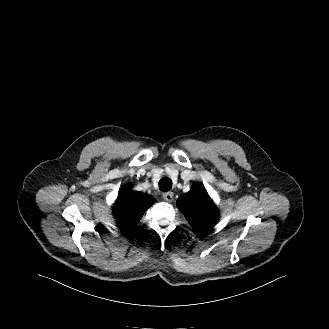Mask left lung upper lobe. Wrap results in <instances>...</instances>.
I'll list each match as a JSON object with an SVG mask.
<instances>
[{"instance_id": "obj_1", "label": "left lung upper lobe", "mask_w": 329, "mask_h": 329, "mask_svg": "<svg viewBox=\"0 0 329 329\" xmlns=\"http://www.w3.org/2000/svg\"><path fill=\"white\" fill-rule=\"evenodd\" d=\"M176 203L198 233L210 230L219 217L216 206L201 184H194L190 192L181 195Z\"/></svg>"}]
</instances>
